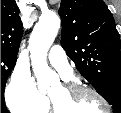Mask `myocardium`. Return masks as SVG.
<instances>
[{
	"label": "myocardium",
	"instance_id": "f54148a6",
	"mask_svg": "<svg viewBox=\"0 0 121 113\" xmlns=\"http://www.w3.org/2000/svg\"><path fill=\"white\" fill-rule=\"evenodd\" d=\"M61 86L70 95V101H69L70 105H73V100L71 98L72 94L91 93L94 96H96L104 105V107H105L104 113H110L111 106H110L108 100L102 94H100L97 90H95L89 86H86V85H83L80 83H76V82L64 83ZM49 103H50V106H51L53 113H64V112L60 111L59 105L50 96H49Z\"/></svg>",
	"mask_w": 121,
	"mask_h": 113
}]
</instances>
